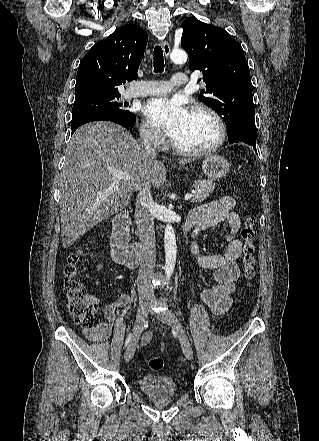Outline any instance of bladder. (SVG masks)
I'll return each instance as SVG.
<instances>
[{"label":"bladder","mask_w":319,"mask_h":441,"mask_svg":"<svg viewBox=\"0 0 319 441\" xmlns=\"http://www.w3.org/2000/svg\"><path fill=\"white\" fill-rule=\"evenodd\" d=\"M143 394L148 397L174 396L178 393V383L169 377L149 375L138 382Z\"/></svg>","instance_id":"31cf9c89"}]
</instances>
